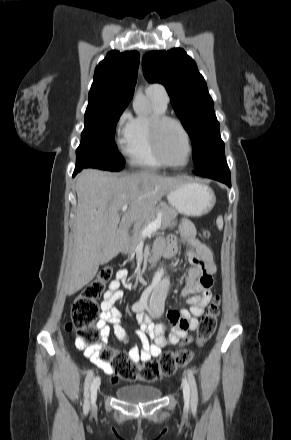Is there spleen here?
I'll return each instance as SVG.
<instances>
[{
	"label": "spleen",
	"instance_id": "spleen-1",
	"mask_svg": "<svg viewBox=\"0 0 291 440\" xmlns=\"http://www.w3.org/2000/svg\"><path fill=\"white\" fill-rule=\"evenodd\" d=\"M216 224L219 230H222L223 228V217L219 216L216 220Z\"/></svg>",
	"mask_w": 291,
	"mask_h": 440
}]
</instances>
